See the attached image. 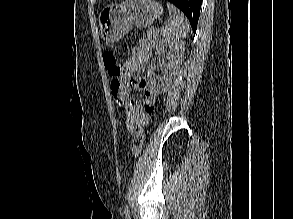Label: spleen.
I'll list each match as a JSON object with an SVG mask.
<instances>
[{
    "label": "spleen",
    "mask_w": 293,
    "mask_h": 219,
    "mask_svg": "<svg viewBox=\"0 0 293 219\" xmlns=\"http://www.w3.org/2000/svg\"><path fill=\"white\" fill-rule=\"evenodd\" d=\"M167 7L169 9L170 18L168 23L161 28V35L175 41L186 37L190 31L187 18L172 4L167 3Z\"/></svg>",
    "instance_id": "1"
}]
</instances>
